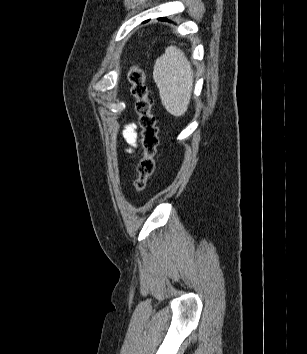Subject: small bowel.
<instances>
[{
    "label": "small bowel",
    "instance_id": "small-bowel-1",
    "mask_svg": "<svg viewBox=\"0 0 307 354\" xmlns=\"http://www.w3.org/2000/svg\"><path fill=\"white\" fill-rule=\"evenodd\" d=\"M123 138L125 142L130 146L128 152H132L133 149L137 146V132H136V125L134 123H129L126 125L123 131Z\"/></svg>",
    "mask_w": 307,
    "mask_h": 354
}]
</instances>
